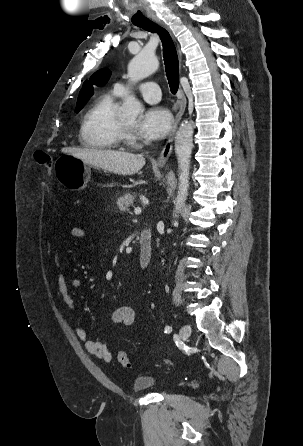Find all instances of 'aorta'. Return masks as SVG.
<instances>
[{"instance_id": "1", "label": "aorta", "mask_w": 303, "mask_h": 446, "mask_svg": "<svg viewBox=\"0 0 303 446\" xmlns=\"http://www.w3.org/2000/svg\"><path fill=\"white\" fill-rule=\"evenodd\" d=\"M158 60L154 54L141 51L128 65V76L131 82H137L154 73L158 68ZM142 111L140 102L133 96H128L119 110L122 118L135 120ZM193 147V125L184 122L180 125L175 136V153L179 168V187L175 200L174 217L181 212L183 203L188 195L190 159Z\"/></svg>"}]
</instances>
